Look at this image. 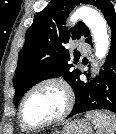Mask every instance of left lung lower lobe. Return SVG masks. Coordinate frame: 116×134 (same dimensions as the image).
<instances>
[{"instance_id":"left-lung-lower-lobe-1","label":"left lung lower lobe","mask_w":116,"mask_h":134,"mask_svg":"<svg viewBox=\"0 0 116 134\" xmlns=\"http://www.w3.org/2000/svg\"><path fill=\"white\" fill-rule=\"evenodd\" d=\"M105 19L111 28L112 35L108 56L99 76L93 80L94 83L85 84L79 76L76 79L72 87L76 98L75 104L67 118L97 109H107L116 113V13L114 7L108 11ZM86 76L89 77L90 74Z\"/></svg>"}]
</instances>
